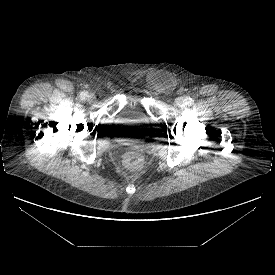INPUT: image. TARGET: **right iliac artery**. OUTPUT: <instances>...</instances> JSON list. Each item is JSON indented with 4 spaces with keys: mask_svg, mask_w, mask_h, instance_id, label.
Wrapping results in <instances>:
<instances>
[{
    "mask_svg": "<svg viewBox=\"0 0 275 275\" xmlns=\"http://www.w3.org/2000/svg\"><path fill=\"white\" fill-rule=\"evenodd\" d=\"M82 96H83V97H85V96H86V94L84 93V94H82Z\"/></svg>",
    "mask_w": 275,
    "mask_h": 275,
    "instance_id": "82829eb1",
    "label": "right iliac artery"
}]
</instances>
